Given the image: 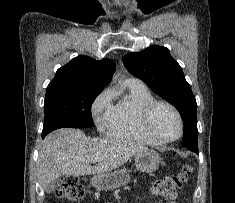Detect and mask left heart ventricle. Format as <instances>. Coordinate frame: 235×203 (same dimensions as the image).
Here are the masks:
<instances>
[{"mask_svg": "<svg viewBox=\"0 0 235 203\" xmlns=\"http://www.w3.org/2000/svg\"><path fill=\"white\" fill-rule=\"evenodd\" d=\"M151 130L164 139L175 138L179 133V123L175 114L166 106H159L153 113Z\"/></svg>", "mask_w": 235, "mask_h": 203, "instance_id": "1", "label": "left heart ventricle"}]
</instances>
